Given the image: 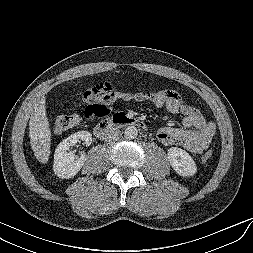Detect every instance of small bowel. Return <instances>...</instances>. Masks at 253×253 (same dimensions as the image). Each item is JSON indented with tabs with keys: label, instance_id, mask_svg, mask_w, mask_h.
<instances>
[{
	"label": "small bowel",
	"instance_id": "small-bowel-1",
	"mask_svg": "<svg viewBox=\"0 0 253 253\" xmlns=\"http://www.w3.org/2000/svg\"><path fill=\"white\" fill-rule=\"evenodd\" d=\"M111 93L116 99H125L127 92L116 90L109 83L100 84L89 88L84 93V100L93 103L97 100L98 92ZM149 100L158 108H164L174 115H180L183 128L170 126L161 127L157 131V139L164 145L178 144L193 154L202 153L210 144L214 133L215 125L207 122L202 114L189 105L183 97L174 90H161L152 93ZM107 107L111 110V104Z\"/></svg>",
	"mask_w": 253,
	"mask_h": 253
}]
</instances>
